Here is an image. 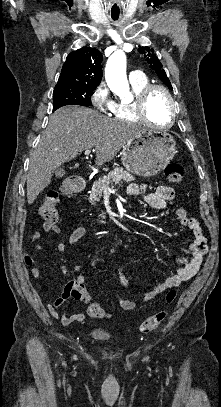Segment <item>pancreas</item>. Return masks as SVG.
<instances>
[{
    "label": "pancreas",
    "mask_w": 221,
    "mask_h": 407,
    "mask_svg": "<svg viewBox=\"0 0 221 407\" xmlns=\"http://www.w3.org/2000/svg\"><path fill=\"white\" fill-rule=\"evenodd\" d=\"M135 178L134 176L124 170L122 167H115L112 171H110L106 176L100 178L99 180L95 181L92 185L89 199L91 203L95 204V202H98L100 198L102 197V194L105 190L106 185H112V184H119L123 182H132L134 181ZM101 218L100 222L104 223L105 219V212L102 211V213L99 215Z\"/></svg>",
    "instance_id": "1"
}]
</instances>
